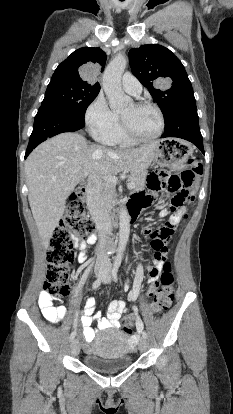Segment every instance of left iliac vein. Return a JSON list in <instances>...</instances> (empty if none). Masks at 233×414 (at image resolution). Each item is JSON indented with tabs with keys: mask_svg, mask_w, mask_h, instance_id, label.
Here are the masks:
<instances>
[{
	"mask_svg": "<svg viewBox=\"0 0 233 414\" xmlns=\"http://www.w3.org/2000/svg\"><path fill=\"white\" fill-rule=\"evenodd\" d=\"M108 282H110V276L109 275L105 279V283H108ZM146 349H147V341L144 337H142L139 341V350L141 352H144Z\"/></svg>",
	"mask_w": 233,
	"mask_h": 414,
	"instance_id": "obj_1",
	"label": "left iliac vein"
}]
</instances>
